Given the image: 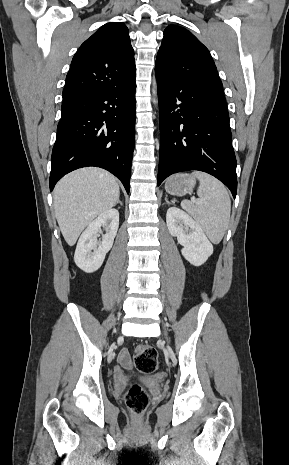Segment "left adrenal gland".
I'll return each instance as SVG.
<instances>
[{"mask_svg": "<svg viewBox=\"0 0 289 465\" xmlns=\"http://www.w3.org/2000/svg\"><path fill=\"white\" fill-rule=\"evenodd\" d=\"M165 203H166V204H170V202L168 201L167 197H165Z\"/></svg>", "mask_w": 289, "mask_h": 465, "instance_id": "left-adrenal-gland-1", "label": "left adrenal gland"}]
</instances>
